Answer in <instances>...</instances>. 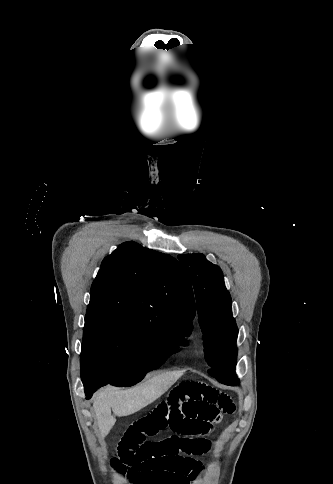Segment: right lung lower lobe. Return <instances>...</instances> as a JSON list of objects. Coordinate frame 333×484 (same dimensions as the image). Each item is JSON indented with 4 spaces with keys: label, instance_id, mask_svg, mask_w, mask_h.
<instances>
[{
    "label": "right lung lower lobe",
    "instance_id": "98d812e1",
    "mask_svg": "<svg viewBox=\"0 0 333 484\" xmlns=\"http://www.w3.org/2000/svg\"><path fill=\"white\" fill-rule=\"evenodd\" d=\"M83 384H84L87 399H89L91 397V395L93 394V392H95L97 388H99L103 385H106L107 381H101V382L89 381V382H85Z\"/></svg>",
    "mask_w": 333,
    "mask_h": 484
}]
</instances>
